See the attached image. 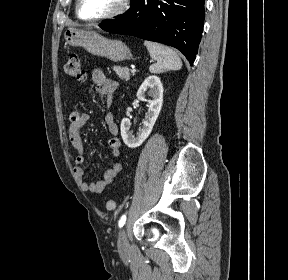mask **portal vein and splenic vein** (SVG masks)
Masks as SVG:
<instances>
[{
	"mask_svg": "<svg viewBox=\"0 0 288 280\" xmlns=\"http://www.w3.org/2000/svg\"><path fill=\"white\" fill-rule=\"evenodd\" d=\"M131 73H136V69H131Z\"/></svg>",
	"mask_w": 288,
	"mask_h": 280,
	"instance_id": "1",
	"label": "portal vein and splenic vein"
}]
</instances>
